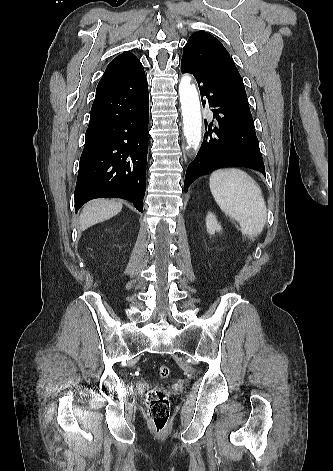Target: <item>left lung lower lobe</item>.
<instances>
[{"label": "left lung lower lobe", "mask_w": 333, "mask_h": 471, "mask_svg": "<svg viewBox=\"0 0 333 471\" xmlns=\"http://www.w3.org/2000/svg\"><path fill=\"white\" fill-rule=\"evenodd\" d=\"M182 73L194 75L203 107H212L215 123L204 134L200 150L189 164L184 187L196 177L218 168L241 166L265 175V166L252 116L208 72L194 62L181 60ZM213 125V128H212Z\"/></svg>", "instance_id": "0a47b994"}]
</instances>
